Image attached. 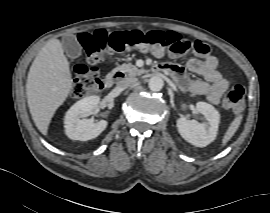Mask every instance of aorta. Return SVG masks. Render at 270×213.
Wrapping results in <instances>:
<instances>
[{"mask_svg": "<svg viewBox=\"0 0 270 213\" xmlns=\"http://www.w3.org/2000/svg\"><path fill=\"white\" fill-rule=\"evenodd\" d=\"M148 86L152 91L158 92L164 86V81L160 76H153L149 79Z\"/></svg>", "mask_w": 270, "mask_h": 213, "instance_id": "1", "label": "aorta"}]
</instances>
